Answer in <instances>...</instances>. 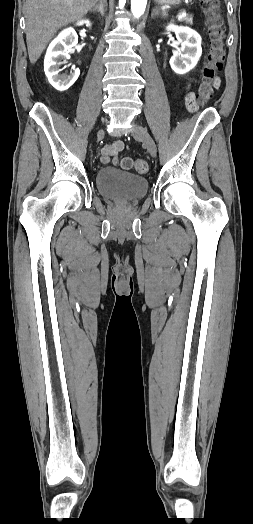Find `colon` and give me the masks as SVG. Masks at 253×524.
<instances>
[{"instance_id": "1", "label": "colon", "mask_w": 253, "mask_h": 524, "mask_svg": "<svg viewBox=\"0 0 253 524\" xmlns=\"http://www.w3.org/2000/svg\"><path fill=\"white\" fill-rule=\"evenodd\" d=\"M200 3L207 16V30L210 38V47L202 73V81L196 95L198 97V104L200 101L208 100L212 97L214 79L223 64L225 57V30L222 21L216 12V1L200 0ZM119 164L126 170L134 167L135 170L141 174L146 173L148 170V163L141 159L132 160L131 158H123L120 160Z\"/></svg>"}]
</instances>
